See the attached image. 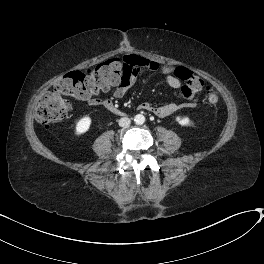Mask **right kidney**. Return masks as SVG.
I'll return each instance as SVG.
<instances>
[{
    "label": "right kidney",
    "mask_w": 264,
    "mask_h": 264,
    "mask_svg": "<svg viewBox=\"0 0 264 264\" xmlns=\"http://www.w3.org/2000/svg\"><path fill=\"white\" fill-rule=\"evenodd\" d=\"M91 122L92 120L89 116H85L81 118L80 120H78V122L76 123V127H75V134L81 135L87 132L90 128Z\"/></svg>",
    "instance_id": "obj_1"
}]
</instances>
